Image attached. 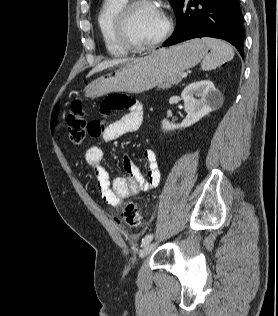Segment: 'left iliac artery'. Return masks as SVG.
Wrapping results in <instances>:
<instances>
[{
    "instance_id": "1",
    "label": "left iliac artery",
    "mask_w": 278,
    "mask_h": 316,
    "mask_svg": "<svg viewBox=\"0 0 278 316\" xmlns=\"http://www.w3.org/2000/svg\"><path fill=\"white\" fill-rule=\"evenodd\" d=\"M153 239V234H148L146 235L143 239H142V244L141 246H146L147 244H149L151 242V240Z\"/></svg>"
}]
</instances>
